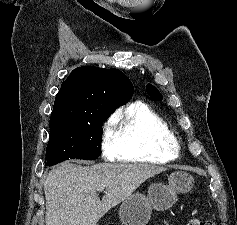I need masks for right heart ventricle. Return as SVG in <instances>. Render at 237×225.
<instances>
[{
	"label": "right heart ventricle",
	"instance_id": "1",
	"mask_svg": "<svg viewBox=\"0 0 237 225\" xmlns=\"http://www.w3.org/2000/svg\"><path fill=\"white\" fill-rule=\"evenodd\" d=\"M117 151L121 162L165 163L177 157L176 141L167 122L142 102L116 117Z\"/></svg>",
	"mask_w": 237,
	"mask_h": 225
}]
</instances>
